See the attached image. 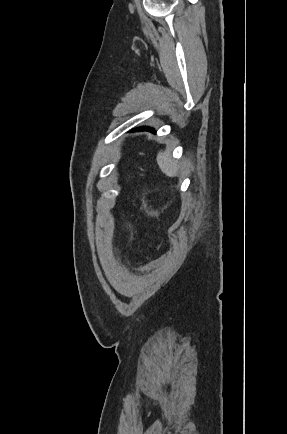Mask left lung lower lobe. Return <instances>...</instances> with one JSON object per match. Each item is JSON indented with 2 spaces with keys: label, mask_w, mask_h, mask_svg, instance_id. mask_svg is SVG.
<instances>
[{
  "label": "left lung lower lobe",
  "mask_w": 287,
  "mask_h": 434,
  "mask_svg": "<svg viewBox=\"0 0 287 434\" xmlns=\"http://www.w3.org/2000/svg\"><path fill=\"white\" fill-rule=\"evenodd\" d=\"M138 130H148V131L155 132L153 128H149V127H139V128H136L132 131H138Z\"/></svg>",
  "instance_id": "left-lung-lower-lobe-1"
}]
</instances>
